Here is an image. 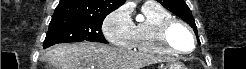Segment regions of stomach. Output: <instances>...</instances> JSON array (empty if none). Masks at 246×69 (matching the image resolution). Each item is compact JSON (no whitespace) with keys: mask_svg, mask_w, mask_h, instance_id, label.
I'll list each match as a JSON object with an SVG mask.
<instances>
[{"mask_svg":"<svg viewBox=\"0 0 246 69\" xmlns=\"http://www.w3.org/2000/svg\"><path fill=\"white\" fill-rule=\"evenodd\" d=\"M160 69H187L184 65L176 62L167 63L162 66Z\"/></svg>","mask_w":246,"mask_h":69,"instance_id":"stomach-1","label":"stomach"}]
</instances>
